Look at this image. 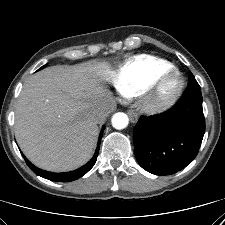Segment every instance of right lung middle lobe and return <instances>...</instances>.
Returning <instances> with one entry per match:
<instances>
[{"instance_id": "1", "label": "right lung middle lobe", "mask_w": 225, "mask_h": 225, "mask_svg": "<svg viewBox=\"0 0 225 225\" xmlns=\"http://www.w3.org/2000/svg\"><path fill=\"white\" fill-rule=\"evenodd\" d=\"M44 67H46V65L42 66L40 69H43ZM40 69H39V70H40Z\"/></svg>"}]
</instances>
